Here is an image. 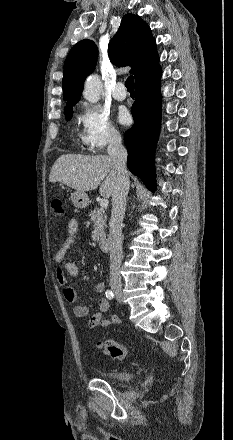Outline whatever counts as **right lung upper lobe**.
<instances>
[{
    "label": "right lung upper lobe",
    "mask_w": 233,
    "mask_h": 440,
    "mask_svg": "<svg viewBox=\"0 0 233 440\" xmlns=\"http://www.w3.org/2000/svg\"><path fill=\"white\" fill-rule=\"evenodd\" d=\"M112 62L119 66H131L135 83L159 68L156 42L150 27L137 15L126 14L116 35L108 45ZM98 49L92 40L84 39L70 50L65 63L62 81L64 110L75 105L81 97L85 78L94 70Z\"/></svg>",
    "instance_id": "obj_1"
}]
</instances>
